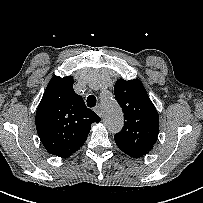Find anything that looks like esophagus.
<instances>
[{
  "mask_svg": "<svg viewBox=\"0 0 203 203\" xmlns=\"http://www.w3.org/2000/svg\"><path fill=\"white\" fill-rule=\"evenodd\" d=\"M95 112H96L100 117H102V109H101V106H97V107L95 108Z\"/></svg>",
  "mask_w": 203,
  "mask_h": 203,
  "instance_id": "1",
  "label": "esophagus"
}]
</instances>
